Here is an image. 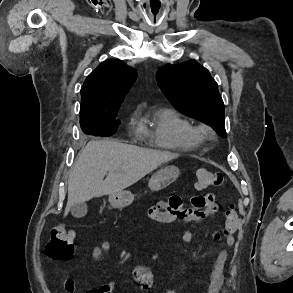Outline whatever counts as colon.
Wrapping results in <instances>:
<instances>
[{"mask_svg": "<svg viewBox=\"0 0 293 293\" xmlns=\"http://www.w3.org/2000/svg\"><path fill=\"white\" fill-rule=\"evenodd\" d=\"M223 183V175L217 171L199 169L196 172L195 186L199 190L219 187ZM238 225V215L235 207L230 206L226 212L225 234H233ZM45 253L50 259H70L74 254L73 235L71 231L62 226H56L51 233L50 240L46 244Z\"/></svg>", "mask_w": 293, "mask_h": 293, "instance_id": "5ec220e1", "label": "colon"}]
</instances>
